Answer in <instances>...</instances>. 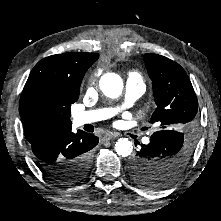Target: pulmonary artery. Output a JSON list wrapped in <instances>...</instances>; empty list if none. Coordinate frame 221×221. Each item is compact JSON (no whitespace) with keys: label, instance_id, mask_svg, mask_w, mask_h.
I'll return each mask as SVG.
<instances>
[{"label":"pulmonary artery","instance_id":"pulmonary-artery-1","mask_svg":"<svg viewBox=\"0 0 221 221\" xmlns=\"http://www.w3.org/2000/svg\"><path fill=\"white\" fill-rule=\"evenodd\" d=\"M145 89L146 87L142 80L138 76L132 75L127 80L125 89V100L121 106L117 108H106L78 112L74 114L73 122L76 126H81L84 124L105 120L113 116L121 109L132 106L144 94Z\"/></svg>","mask_w":221,"mask_h":221}]
</instances>
